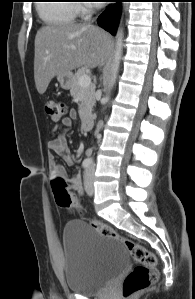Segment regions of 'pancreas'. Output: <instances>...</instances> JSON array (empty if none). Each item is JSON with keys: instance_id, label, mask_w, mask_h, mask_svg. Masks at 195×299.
I'll use <instances>...</instances> for the list:
<instances>
[{"instance_id": "pancreas-1", "label": "pancreas", "mask_w": 195, "mask_h": 299, "mask_svg": "<svg viewBox=\"0 0 195 299\" xmlns=\"http://www.w3.org/2000/svg\"><path fill=\"white\" fill-rule=\"evenodd\" d=\"M86 74V68H81L73 77V82L70 88V94L74 99H80L79 115L84 117L91 112L92 107L95 104V85L90 84L87 87L79 85V79L82 75Z\"/></svg>"}]
</instances>
